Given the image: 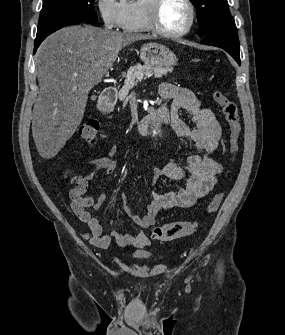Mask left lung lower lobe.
Returning a JSON list of instances; mask_svg holds the SVG:
<instances>
[{
    "mask_svg": "<svg viewBox=\"0 0 285 335\" xmlns=\"http://www.w3.org/2000/svg\"><path fill=\"white\" fill-rule=\"evenodd\" d=\"M205 45L223 48L240 65V49L237 28L209 32V36L202 41Z\"/></svg>",
    "mask_w": 285,
    "mask_h": 335,
    "instance_id": "0a47b994",
    "label": "left lung lower lobe"
}]
</instances>
